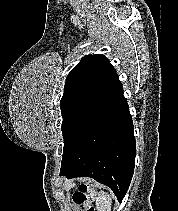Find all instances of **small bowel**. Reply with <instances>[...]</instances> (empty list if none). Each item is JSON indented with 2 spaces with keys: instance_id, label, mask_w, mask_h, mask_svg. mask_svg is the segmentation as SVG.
<instances>
[{
  "instance_id": "small-bowel-1",
  "label": "small bowel",
  "mask_w": 178,
  "mask_h": 211,
  "mask_svg": "<svg viewBox=\"0 0 178 211\" xmlns=\"http://www.w3.org/2000/svg\"><path fill=\"white\" fill-rule=\"evenodd\" d=\"M76 211H82V210L76 208Z\"/></svg>"
}]
</instances>
